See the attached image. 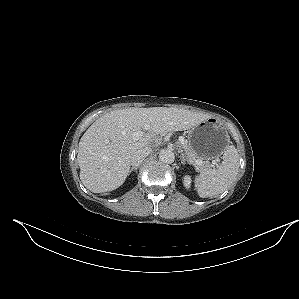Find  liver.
Listing matches in <instances>:
<instances>
[{
	"instance_id": "1",
	"label": "liver",
	"mask_w": 299,
	"mask_h": 299,
	"mask_svg": "<svg viewBox=\"0 0 299 299\" xmlns=\"http://www.w3.org/2000/svg\"><path fill=\"white\" fill-rule=\"evenodd\" d=\"M208 114L178 108H129L98 118L79 142L77 162L83 185L94 193L120 187L129 175L132 154L151 148L157 135L191 129ZM148 130L138 140L133 134Z\"/></svg>"
}]
</instances>
